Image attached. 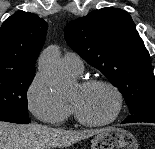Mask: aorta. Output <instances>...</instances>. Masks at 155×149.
<instances>
[{
    "mask_svg": "<svg viewBox=\"0 0 155 149\" xmlns=\"http://www.w3.org/2000/svg\"><path fill=\"white\" fill-rule=\"evenodd\" d=\"M38 69L54 96L58 98L69 96L74 82L65 73L58 46L51 45L43 51Z\"/></svg>",
    "mask_w": 155,
    "mask_h": 149,
    "instance_id": "1",
    "label": "aorta"
}]
</instances>
